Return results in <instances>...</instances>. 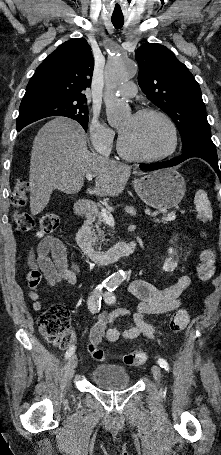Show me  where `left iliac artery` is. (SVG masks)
I'll return each mask as SVG.
<instances>
[{"label": "left iliac artery", "mask_w": 221, "mask_h": 455, "mask_svg": "<svg viewBox=\"0 0 221 455\" xmlns=\"http://www.w3.org/2000/svg\"><path fill=\"white\" fill-rule=\"evenodd\" d=\"M116 289V287L114 286H108L107 287V292H105L104 294V298H105V302L106 303H109V304H112L116 301V297L114 296V293L113 291ZM158 364L160 365L161 368L165 369V370H169V365L167 363L166 360L162 359V358H159L158 359Z\"/></svg>", "instance_id": "left-iliac-artery-1"}]
</instances>
